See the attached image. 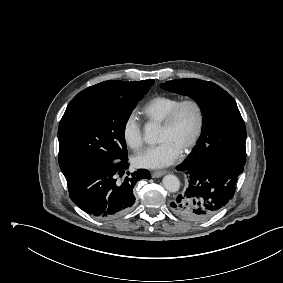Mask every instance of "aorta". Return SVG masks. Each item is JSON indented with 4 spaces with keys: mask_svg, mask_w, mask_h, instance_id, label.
<instances>
[{
    "mask_svg": "<svg viewBox=\"0 0 283 283\" xmlns=\"http://www.w3.org/2000/svg\"><path fill=\"white\" fill-rule=\"evenodd\" d=\"M144 140L148 144H155L159 140V128L154 123H147L144 128ZM165 189L171 193H175L180 188V181L175 175H166L163 178Z\"/></svg>",
    "mask_w": 283,
    "mask_h": 283,
    "instance_id": "obj_1",
    "label": "aorta"
}]
</instances>
